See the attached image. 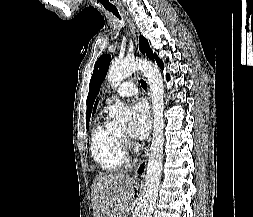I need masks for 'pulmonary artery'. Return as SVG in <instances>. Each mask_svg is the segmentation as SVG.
Returning <instances> with one entry per match:
<instances>
[{"label": "pulmonary artery", "instance_id": "e3ab8cb5", "mask_svg": "<svg viewBox=\"0 0 253 217\" xmlns=\"http://www.w3.org/2000/svg\"><path fill=\"white\" fill-rule=\"evenodd\" d=\"M138 91L137 84L134 81H126L122 83L115 91V93L106 99V105L109 106L115 97H129L136 95Z\"/></svg>", "mask_w": 253, "mask_h": 217}]
</instances>
